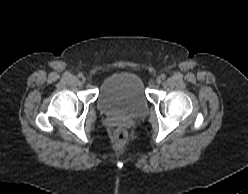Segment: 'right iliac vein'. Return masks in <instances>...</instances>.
<instances>
[{"label":"right iliac vein","mask_w":248,"mask_h":194,"mask_svg":"<svg viewBox=\"0 0 248 194\" xmlns=\"http://www.w3.org/2000/svg\"><path fill=\"white\" fill-rule=\"evenodd\" d=\"M82 81H83V82H85V81H86L85 77H82Z\"/></svg>","instance_id":"obj_1"}]
</instances>
